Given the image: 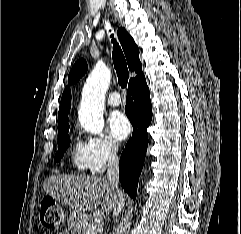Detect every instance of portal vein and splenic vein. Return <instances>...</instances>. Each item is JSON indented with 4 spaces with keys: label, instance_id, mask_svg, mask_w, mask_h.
I'll use <instances>...</instances> for the list:
<instances>
[{
    "label": "portal vein and splenic vein",
    "instance_id": "obj_1",
    "mask_svg": "<svg viewBox=\"0 0 241 234\" xmlns=\"http://www.w3.org/2000/svg\"><path fill=\"white\" fill-rule=\"evenodd\" d=\"M93 230H103V227L100 223H96L94 226H93Z\"/></svg>",
    "mask_w": 241,
    "mask_h": 234
}]
</instances>
